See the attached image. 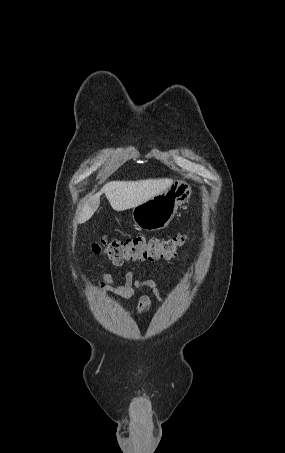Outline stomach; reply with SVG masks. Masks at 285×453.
I'll use <instances>...</instances> for the list:
<instances>
[{"label": "stomach", "mask_w": 285, "mask_h": 453, "mask_svg": "<svg viewBox=\"0 0 285 453\" xmlns=\"http://www.w3.org/2000/svg\"><path fill=\"white\" fill-rule=\"evenodd\" d=\"M190 188L183 181L175 180L163 193L133 208L135 226L145 231H157L168 226L180 205L188 201Z\"/></svg>", "instance_id": "obj_1"}]
</instances>
